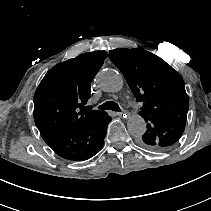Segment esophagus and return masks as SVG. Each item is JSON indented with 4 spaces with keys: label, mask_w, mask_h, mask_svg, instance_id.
<instances>
[{
    "label": "esophagus",
    "mask_w": 211,
    "mask_h": 211,
    "mask_svg": "<svg viewBox=\"0 0 211 211\" xmlns=\"http://www.w3.org/2000/svg\"><path fill=\"white\" fill-rule=\"evenodd\" d=\"M116 115L119 117L127 116L128 114L126 112H116Z\"/></svg>",
    "instance_id": "esophagus-1"
}]
</instances>
